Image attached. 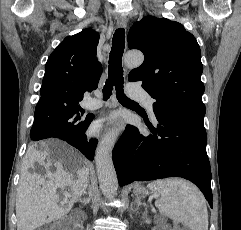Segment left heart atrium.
<instances>
[{
    "mask_svg": "<svg viewBox=\"0 0 241 230\" xmlns=\"http://www.w3.org/2000/svg\"><path fill=\"white\" fill-rule=\"evenodd\" d=\"M105 124H106V121L95 122L91 127L92 134L97 135L98 133H100V131L105 126Z\"/></svg>",
    "mask_w": 241,
    "mask_h": 230,
    "instance_id": "obj_1",
    "label": "left heart atrium"
}]
</instances>
